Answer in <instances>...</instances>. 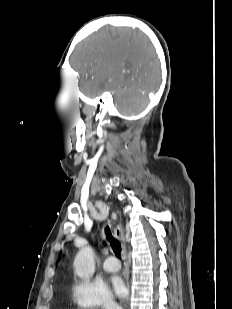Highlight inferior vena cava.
<instances>
[{
    "label": "inferior vena cava",
    "instance_id": "1",
    "mask_svg": "<svg viewBox=\"0 0 232 309\" xmlns=\"http://www.w3.org/2000/svg\"><path fill=\"white\" fill-rule=\"evenodd\" d=\"M105 309H122V308L116 305L113 301H109L106 303Z\"/></svg>",
    "mask_w": 232,
    "mask_h": 309
}]
</instances>
